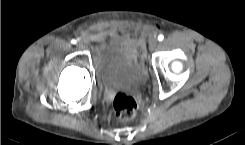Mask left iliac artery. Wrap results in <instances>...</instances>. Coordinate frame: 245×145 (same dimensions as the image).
Segmentation results:
<instances>
[{"label": "left iliac artery", "mask_w": 245, "mask_h": 145, "mask_svg": "<svg viewBox=\"0 0 245 145\" xmlns=\"http://www.w3.org/2000/svg\"><path fill=\"white\" fill-rule=\"evenodd\" d=\"M164 39V36L162 35V34H160L159 36H158V40L159 41H162Z\"/></svg>", "instance_id": "44dca946"}]
</instances>
